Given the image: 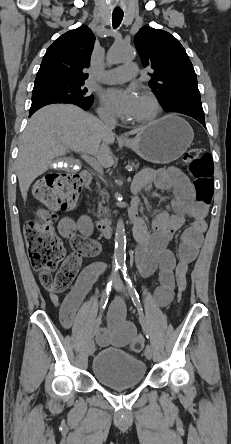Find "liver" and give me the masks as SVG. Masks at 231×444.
<instances>
[{
  "instance_id": "liver-1",
  "label": "liver",
  "mask_w": 231,
  "mask_h": 444,
  "mask_svg": "<svg viewBox=\"0 0 231 444\" xmlns=\"http://www.w3.org/2000/svg\"><path fill=\"white\" fill-rule=\"evenodd\" d=\"M114 141L115 134L102 121L75 105L41 108L28 121L19 142L17 176L23 199L32 182L46 172L53 160L70 150L95 156L103 167H111L114 160L109 145Z\"/></svg>"
}]
</instances>
